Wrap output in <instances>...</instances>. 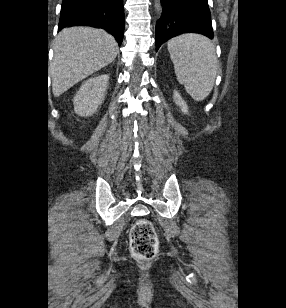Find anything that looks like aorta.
<instances>
[{"instance_id":"762f6f07","label":"aorta","mask_w":286,"mask_h":308,"mask_svg":"<svg viewBox=\"0 0 286 308\" xmlns=\"http://www.w3.org/2000/svg\"><path fill=\"white\" fill-rule=\"evenodd\" d=\"M154 7L158 14H161L162 12V5L160 0H154Z\"/></svg>"}]
</instances>
